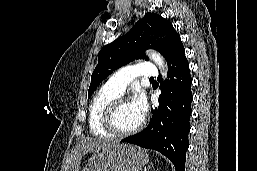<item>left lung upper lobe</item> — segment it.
<instances>
[{
	"label": "left lung upper lobe",
	"mask_w": 257,
	"mask_h": 171,
	"mask_svg": "<svg viewBox=\"0 0 257 171\" xmlns=\"http://www.w3.org/2000/svg\"><path fill=\"white\" fill-rule=\"evenodd\" d=\"M182 48L181 38L169 21L158 14L146 13L126 35L101 49L91 76L88 97L114 70L134 59L144 58L146 49L158 50L168 61Z\"/></svg>",
	"instance_id": "obj_1"
}]
</instances>
